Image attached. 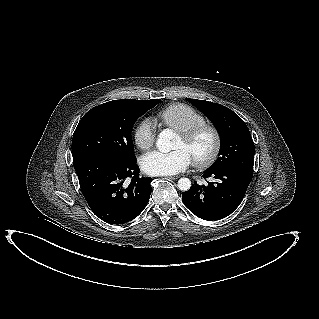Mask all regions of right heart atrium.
Returning a JSON list of instances; mask_svg holds the SVG:
<instances>
[{
	"label": "right heart atrium",
	"instance_id": "d8ad5b80",
	"mask_svg": "<svg viewBox=\"0 0 319 319\" xmlns=\"http://www.w3.org/2000/svg\"><path fill=\"white\" fill-rule=\"evenodd\" d=\"M155 137V129L149 119H143L136 125L133 138L141 150H149L154 145Z\"/></svg>",
	"mask_w": 319,
	"mask_h": 319
}]
</instances>
